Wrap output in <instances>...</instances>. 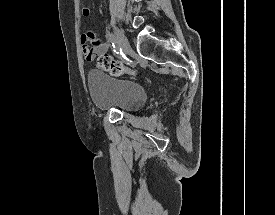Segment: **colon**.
I'll list each match as a JSON object with an SVG mask.
<instances>
[{"mask_svg": "<svg viewBox=\"0 0 275 215\" xmlns=\"http://www.w3.org/2000/svg\"><path fill=\"white\" fill-rule=\"evenodd\" d=\"M81 2L83 7H85L86 0H81ZM96 64L98 68L104 70L112 76H120L123 73L135 75L137 73L136 69L125 66L122 62L107 54L99 55Z\"/></svg>", "mask_w": 275, "mask_h": 215, "instance_id": "obj_1", "label": "colon"}]
</instances>
